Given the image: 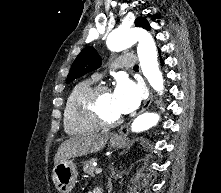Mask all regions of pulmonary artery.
Wrapping results in <instances>:
<instances>
[{
	"instance_id": "e3ab8cb5",
	"label": "pulmonary artery",
	"mask_w": 221,
	"mask_h": 193,
	"mask_svg": "<svg viewBox=\"0 0 221 193\" xmlns=\"http://www.w3.org/2000/svg\"><path fill=\"white\" fill-rule=\"evenodd\" d=\"M136 62V56L135 55H125V56H121L119 57L116 62H115V66L120 67V66H124L127 68H131L133 67V65ZM101 77V74L96 73L94 75L95 79H99Z\"/></svg>"
}]
</instances>
